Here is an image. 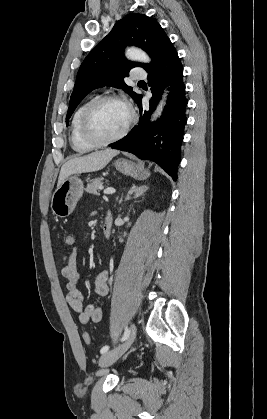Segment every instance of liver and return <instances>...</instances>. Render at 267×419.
Segmentation results:
<instances>
[{"label":"liver","instance_id":"1","mask_svg":"<svg viewBox=\"0 0 267 419\" xmlns=\"http://www.w3.org/2000/svg\"><path fill=\"white\" fill-rule=\"evenodd\" d=\"M119 151L114 149H105L101 151L92 152L85 156L75 157L67 161L61 168L58 186L70 175L94 172L104 168L111 159L118 155Z\"/></svg>","mask_w":267,"mask_h":419}]
</instances>
